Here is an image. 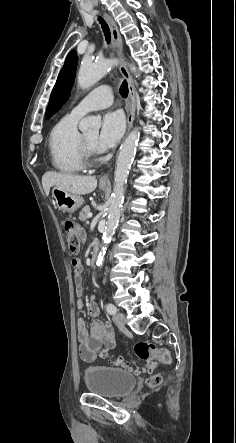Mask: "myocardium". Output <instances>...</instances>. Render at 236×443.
Masks as SVG:
<instances>
[{
	"mask_svg": "<svg viewBox=\"0 0 236 443\" xmlns=\"http://www.w3.org/2000/svg\"><path fill=\"white\" fill-rule=\"evenodd\" d=\"M80 148L84 164H90L95 156V148L89 144L83 135L80 136Z\"/></svg>",
	"mask_w": 236,
	"mask_h": 443,
	"instance_id": "obj_1",
	"label": "myocardium"
}]
</instances>
